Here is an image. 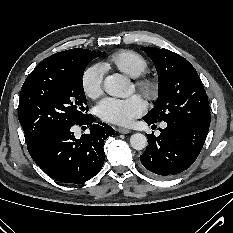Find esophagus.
Here are the masks:
<instances>
[{"label":"esophagus","instance_id":"1","mask_svg":"<svg viewBox=\"0 0 233 233\" xmlns=\"http://www.w3.org/2000/svg\"><path fill=\"white\" fill-rule=\"evenodd\" d=\"M117 131H118L119 133H121V134H128V133L131 132L129 129H127V128H122V127L118 128Z\"/></svg>","mask_w":233,"mask_h":233}]
</instances>
